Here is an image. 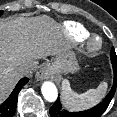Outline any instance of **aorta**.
Instances as JSON below:
<instances>
[{
    "mask_svg": "<svg viewBox=\"0 0 117 117\" xmlns=\"http://www.w3.org/2000/svg\"><path fill=\"white\" fill-rule=\"evenodd\" d=\"M42 94L48 102H54L57 99L58 91L54 83L45 81L41 87Z\"/></svg>",
    "mask_w": 117,
    "mask_h": 117,
    "instance_id": "762f6f07",
    "label": "aorta"
}]
</instances>
